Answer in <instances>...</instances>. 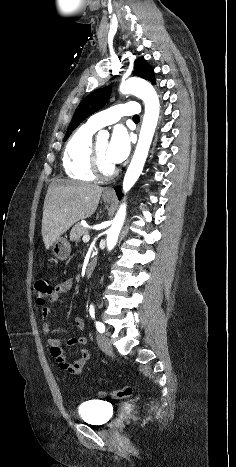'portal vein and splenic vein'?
<instances>
[{
  "label": "portal vein and splenic vein",
  "instance_id": "18ae733b",
  "mask_svg": "<svg viewBox=\"0 0 236 467\" xmlns=\"http://www.w3.org/2000/svg\"><path fill=\"white\" fill-rule=\"evenodd\" d=\"M83 242H89L90 236L88 234L84 235L82 238Z\"/></svg>",
  "mask_w": 236,
  "mask_h": 467
}]
</instances>
